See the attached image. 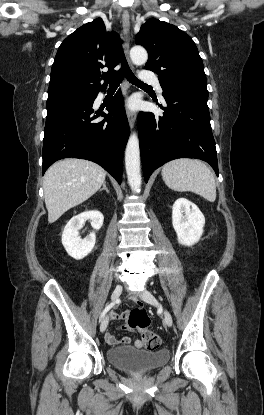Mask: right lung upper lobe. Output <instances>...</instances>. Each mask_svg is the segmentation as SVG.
Instances as JSON below:
<instances>
[{
    "mask_svg": "<svg viewBox=\"0 0 264 415\" xmlns=\"http://www.w3.org/2000/svg\"><path fill=\"white\" fill-rule=\"evenodd\" d=\"M120 38L106 32L97 18L69 35L60 45L51 70L48 100L66 96H92L107 87L101 79L115 74L119 63ZM103 68H108L103 72Z\"/></svg>",
    "mask_w": 264,
    "mask_h": 415,
    "instance_id": "1",
    "label": "right lung upper lobe"
}]
</instances>
